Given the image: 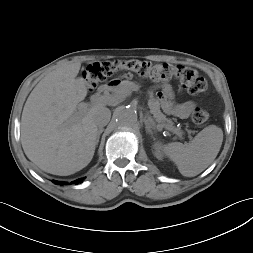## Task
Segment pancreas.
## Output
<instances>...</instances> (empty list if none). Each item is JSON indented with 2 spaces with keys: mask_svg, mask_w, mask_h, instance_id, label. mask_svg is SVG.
<instances>
[{
  "mask_svg": "<svg viewBox=\"0 0 253 253\" xmlns=\"http://www.w3.org/2000/svg\"><path fill=\"white\" fill-rule=\"evenodd\" d=\"M133 90V84L129 81L122 82L119 86L108 89L111 92L110 98L114 102H122L127 96L131 94ZM148 106L150 108V112L153 114L155 120L166 129L175 133V131L179 132L178 128L173 126V122L166 118V116L160 110V103L157 99L151 98L148 101Z\"/></svg>",
  "mask_w": 253,
  "mask_h": 253,
  "instance_id": "1",
  "label": "pancreas"
}]
</instances>
